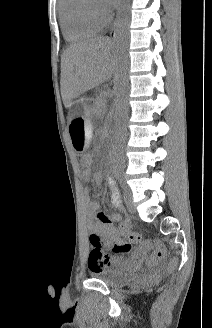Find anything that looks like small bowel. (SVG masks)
<instances>
[{
    "instance_id": "obj_1",
    "label": "small bowel",
    "mask_w": 212,
    "mask_h": 328,
    "mask_svg": "<svg viewBox=\"0 0 212 328\" xmlns=\"http://www.w3.org/2000/svg\"><path fill=\"white\" fill-rule=\"evenodd\" d=\"M81 175L85 180H91L97 185H101L105 181L110 192L112 206L116 209L121 208L120 194L111 177L104 176L100 172L92 173L91 170H82ZM85 207L88 216V229L100 236L105 245L109 246L113 242H118L123 237L129 235V223L122 221L119 213H105L102 210L100 202L91 199L88 191L85 193ZM117 223H119V226H116ZM145 253L146 251L136 252L130 259L114 257L112 259L113 266L120 271L136 270L141 266ZM88 267L91 271L104 269V267H99L97 264H88Z\"/></svg>"
}]
</instances>
